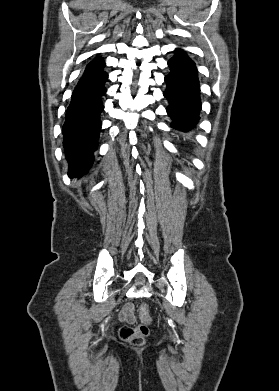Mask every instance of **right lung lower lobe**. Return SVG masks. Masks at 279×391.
Listing matches in <instances>:
<instances>
[{
  "instance_id": "1",
  "label": "right lung lower lobe",
  "mask_w": 279,
  "mask_h": 391,
  "mask_svg": "<svg viewBox=\"0 0 279 391\" xmlns=\"http://www.w3.org/2000/svg\"><path fill=\"white\" fill-rule=\"evenodd\" d=\"M107 78L104 71L82 77L73 91L63 125V145L71 178L85 174L93 162Z\"/></svg>"
}]
</instances>
